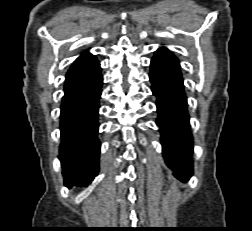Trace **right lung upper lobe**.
<instances>
[{
    "label": "right lung upper lobe",
    "instance_id": "1",
    "mask_svg": "<svg viewBox=\"0 0 252 231\" xmlns=\"http://www.w3.org/2000/svg\"><path fill=\"white\" fill-rule=\"evenodd\" d=\"M100 73V63L96 56L84 51L71 65L67 74L64 90L86 82Z\"/></svg>",
    "mask_w": 252,
    "mask_h": 231
}]
</instances>
